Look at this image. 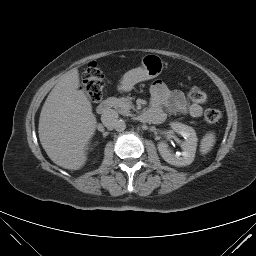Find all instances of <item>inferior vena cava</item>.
Wrapping results in <instances>:
<instances>
[{
    "instance_id": "obj_1",
    "label": "inferior vena cava",
    "mask_w": 256,
    "mask_h": 256,
    "mask_svg": "<svg viewBox=\"0 0 256 256\" xmlns=\"http://www.w3.org/2000/svg\"><path fill=\"white\" fill-rule=\"evenodd\" d=\"M118 118V113L113 109H109L101 115V121L108 129H116Z\"/></svg>"
}]
</instances>
